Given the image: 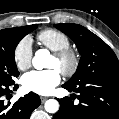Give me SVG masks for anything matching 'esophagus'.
<instances>
[{
	"label": "esophagus",
	"instance_id": "1",
	"mask_svg": "<svg viewBox=\"0 0 119 119\" xmlns=\"http://www.w3.org/2000/svg\"><path fill=\"white\" fill-rule=\"evenodd\" d=\"M41 98V101L42 102H45L47 99H48V97H44V96H42V97H40Z\"/></svg>",
	"mask_w": 119,
	"mask_h": 119
}]
</instances>
